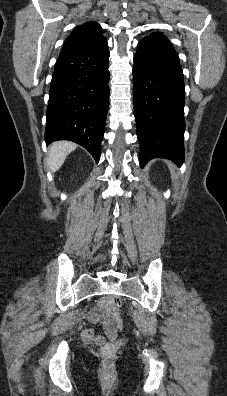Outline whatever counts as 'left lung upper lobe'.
<instances>
[{
	"mask_svg": "<svg viewBox=\"0 0 227 396\" xmlns=\"http://www.w3.org/2000/svg\"><path fill=\"white\" fill-rule=\"evenodd\" d=\"M147 37H161V38H166V36H164L161 33H152L151 35L147 36Z\"/></svg>",
	"mask_w": 227,
	"mask_h": 396,
	"instance_id": "obj_1",
	"label": "left lung upper lobe"
}]
</instances>
